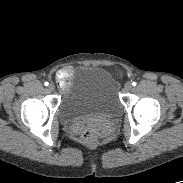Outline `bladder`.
Wrapping results in <instances>:
<instances>
[{
	"instance_id": "bladder-1",
	"label": "bladder",
	"mask_w": 183,
	"mask_h": 183,
	"mask_svg": "<svg viewBox=\"0 0 183 183\" xmlns=\"http://www.w3.org/2000/svg\"><path fill=\"white\" fill-rule=\"evenodd\" d=\"M59 111L61 117L69 122L90 116L115 118L121 112L117 84L101 68H89L79 84L63 93Z\"/></svg>"
}]
</instances>
